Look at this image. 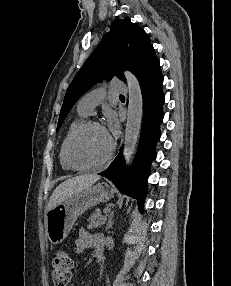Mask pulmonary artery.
Here are the masks:
<instances>
[{
    "instance_id": "pulmonary-artery-1",
    "label": "pulmonary artery",
    "mask_w": 231,
    "mask_h": 286,
    "mask_svg": "<svg viewBox=\"0 0 231 286\" xmlns=\"http://www.w3.org/2000/svg\"><path fill=\"white\" fill-rule=\"evenodd\" d=\"M109 90L113 93H126L127 86L120 80H113L110 83ZM105 95L106 91L103 88L90 91L78 102V111L86 115L91 114L95 107L103 101Z\"/></svg>"
}]
</instances>
